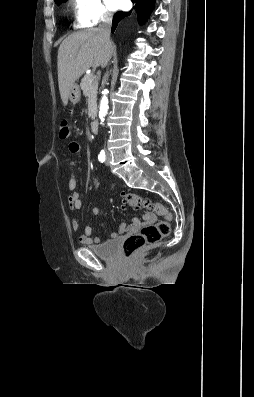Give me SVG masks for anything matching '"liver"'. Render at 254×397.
Returning <instances> with one entry per match:
<instances>
[{"instance_id": "1", "label": "liver", "mask_w": 254, "mask_h": 397, "mask_svg": "<svg viewBox=\"0 0 254 397\" xmlns=\"http://www.w3.org/2000/svg\"><path fill=\"white\" fill-rule=\"evenodd\" d=\"M114 45H106L98 28H90L69 35L63 40L57 57L58 84L63 104H68L71 86L90 67L104 68L110 60Z\"/></svg>"}]
</instances>
